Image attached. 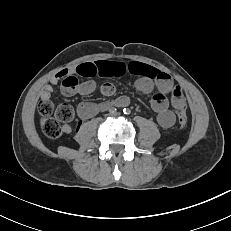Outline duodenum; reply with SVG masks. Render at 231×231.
Here are the masks:
<instances>
[{
	"label": "duodenum",
	"mask_w": 231,
	"mask_h": 231,
	"mask_svg": "<svg viewBox=\"0 0 231 231\" xmlns=\"http://www.w3.org/2000/svg\"><path fill=\"white\" fill-rule=\"evenodd\" d=\"M113 103L112 102H110V103H108V104H106L105 106H110V105H112Z\"/></svg>",
	"instance_id": "1"
}]
</instances>
